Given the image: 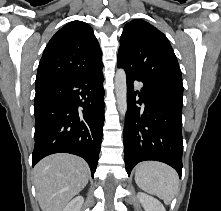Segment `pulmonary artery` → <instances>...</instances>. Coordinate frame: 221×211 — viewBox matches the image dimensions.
<instances>
[{
	"mask_svg": "<svg viewBox=\"0 0 221 211\" xmlns=\"http://www.w3.org/2000/svg\"><path fill=\"white\" fill-rule=\"evenodd\" d=\"M136 85H137L138 87H140V83H139V82H136Z\"/></svg>",
	"mask_w": 221,
	"mask_h": 211,
	"instance_id": "e3ab8cb5",
	"label": "pulmonary artery"
}]
</instances>
